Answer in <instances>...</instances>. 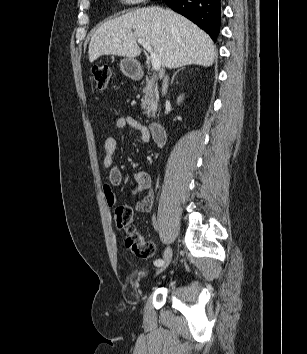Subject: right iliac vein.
Listing matches in <instances>:
<instances>
[{"label": "right iliac vein", "instance_id": "1", "mask_svg": "<svg viewBox=\"0 0 307 354\" xmlns=\"http://www.w3.org/2000/svg\"><path fill=\"white\" fill-rule=\"evenodd\" d=\"M172 259V249L170 247H167V249L164 252V256H163V265L159 266V268L156 271V275L160 274L161 272H163L168 265L170 264Z\"/></svg>", "mask_w": 307, "mask_h": 354}]
</instances>
